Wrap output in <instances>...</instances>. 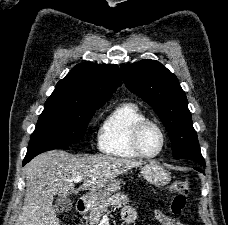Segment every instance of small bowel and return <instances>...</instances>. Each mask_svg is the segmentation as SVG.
I'll return each instance as SVG.
<instances>
[{
	"label": "small bowel",
	"instance_id": "obj_1",
	"mask_svg": "<svg viewBox=\"0 0 228 225\" xmlns=\"http://www.w3.org/2000/svg\"><path fill=\"white\" fill-rule=\"evenodd\" d=\"M155 219L162 225H183L178 219L170 217L162 212L156 211ZM137 217L136 211L131 207H126L123 211V219L127 224H131Z\"/></svg>",
	"mask_w": 228,
	"mask_h": 225
}]
</instances>
